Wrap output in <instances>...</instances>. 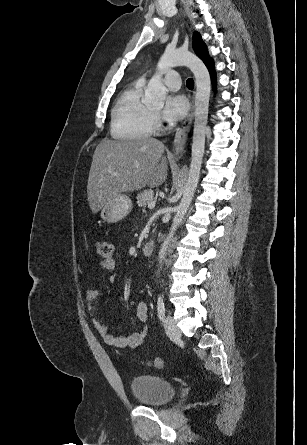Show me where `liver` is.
<instances>
[{
    "label": "liver",
    "mask_w": 307,
    "mask_h": 445,
    "mask_svg": "<svg viewBox=\"0 0 307 445\" xmlns=\"http://www.w3.org/2000/svg\"><path fill=\"white\" fill-rule=\"evenodd\" d=\"M164 144L157 138L109 140L97 144L87 182L92 212H99L108 198L120 192L160 186L167 178L168 162ZM117 174H112V172Z\"/></svg>",
    "instance_id": "liver-1"
}]
</instances>
